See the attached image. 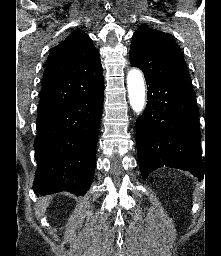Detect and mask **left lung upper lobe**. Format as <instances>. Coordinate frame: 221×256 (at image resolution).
<instances>
[{"label": "left lung upper lobe", "instance_id": "1", "mask_svg": "<svg viewBox=\"0 0 221 256\" xmlns=\"http://www.w3.org/2000/svg\"><path fill=\"white\" fill-rule=\"evenodd\" d=\"M130 63L144 72L145 79L188 81L184 58L173 38L144 25L133 34Z\"/></svg>", "mask_w": 221, "mask_h": 256}]
</instances>
